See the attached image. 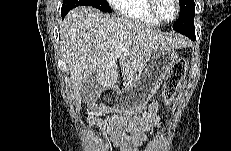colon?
<instances>
[{
    "label": "colon",
    "instance_id": "5ec220e1",
    "mask_svg": "<svg viewBox=\"0 0 231 151\" xmlns=\"http://www.w3.org/2000/svg\"><path fill=\"white\" fill-rule=\"evenodd\" d=\"M187 73V62L184 59L177 60L168 72L163 88V100L170 106L174 100L177 88L184 80Z\"/></svg>",
    "mask_w": 231,
    "mask_h": 151
}]
</instances>
